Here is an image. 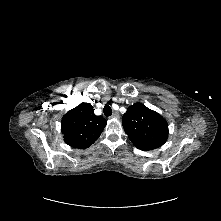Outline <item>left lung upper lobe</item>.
<instances>
[{
	"instance_id": "obj_1",
	"label": "left lung upper lobe",
	"mask_w": 221,
	"mask_h": 221,
	"mask_svg": "<svg viewBox=\"0 0 221 221\" xmlns=\"http://www.w3.org/2000/svg\"><path fill=\"white\" fill-rule=\"evenodd\" d=\"M122 125L131 142L144 151L162 146L168 137L166 120L142 103H135L127 109Z\"/></svg>"
}]
</instances>
